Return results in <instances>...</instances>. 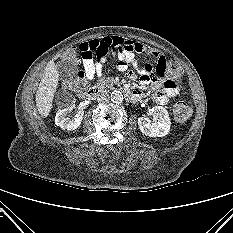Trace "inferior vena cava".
I'll return each instance as SVG.
<instances>
[{
	"label": "inferior vena cava",
	"mask_w": 233,
	"mask_h": 233,
	"mask_svg": "<svg viewBox=\"0 0 233 233\" xmlns=\"http://www.w3.org/2000/svg\"><path fill=\"white\" fill-rule=\"evenodd\" d=\"M97 100L99 102H107L109 100V96L105 93H101L98 95Z\"/></svg>",
	"instance_id": "obj_1"
}]
</instances>
